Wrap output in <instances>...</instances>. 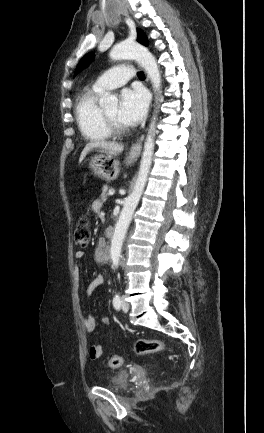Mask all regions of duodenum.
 <instances>
[{"label":"duodenum","mask_w":264,"mask_h":433,"mask_svg":"<svg viewBox=\"0 0 264 433\" xmlns=\"http://www.w3.org/2000/svg\"><path fill=\"white\" fill-rule=\"evenodd\" d=\"M106 234L108 237H112L114 235L113 227H108L106 230ZM109 255L108 247H99L97 250L96 259L99 263H105Z\"/></svg>","instance_id":"duodenum-1"}]
</instances>
